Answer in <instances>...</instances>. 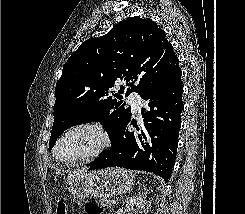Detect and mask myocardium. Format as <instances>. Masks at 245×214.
Returning a JSON list of instances; mask_svg holds the SVG:
<instances>
[{
  "mask_svg": "<svg viewBox=\"0 0 245 214\" xmlns=\"http://www.w3.org/2000/svg\"><path fill=\"white\" fill-rule=\"evenodd\" d=\"M80 130H88L93 132L98 137V143L94 149H92L90 152L83 154L81 156L71 158V159H60L57 156V149L61 141L69 134L80 131ZM110 146V138L108 134L97 124L85 122V123H79L76 124L67 130H65L56 140L53 149H52V155L54 159L62 164L66 165H72L77 164L85 161H90L98 156H100L108 147Z\"/></svg>",
  "mask_w": 245,
  "mask_h": 214,
  "instance_id": "obj_1",
  "label": "myocardium"
}]
</instances>
